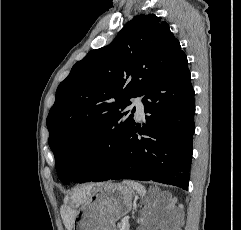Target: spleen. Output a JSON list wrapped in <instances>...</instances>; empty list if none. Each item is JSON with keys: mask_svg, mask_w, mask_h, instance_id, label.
I'll list each match as a JSON object with an SVG mask.
<instances>
[{"mask_svg": "<svg viewBox=\"0 0 241 230\" xmlns=\"http://www.w3.org/2000/svg\"><path fill=\"white\" fill-rule=\"evenodd\" d=\"M125 184L132 187L133 189H135L141 197L145 196L146 189L140 183H137V182H134V181H125Z\"/></svg>", "mask_w": 241, "mask_h": 230, "instance_id": "spleen-1", "label": "spleen"}]
</instances>
